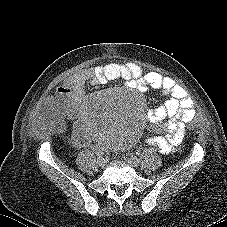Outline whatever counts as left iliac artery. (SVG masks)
Here are the masks:
<instances>
[{
  "label": "left iliac artery",
  "instance_id": "obj_1",
  "mask_svg": "<svg viewBox=\"0 0 227 227\" xmlns=\"http://www.w3.org/2000/svg\"><path fill=\"white\" fill-rule=\"evenodd\" d=\"M136 154L140 155V152H137Z\"/></svg>",
  "mask_w": 227,
  "mask_h": 227
}]
</instances>
